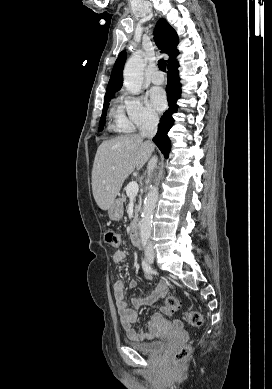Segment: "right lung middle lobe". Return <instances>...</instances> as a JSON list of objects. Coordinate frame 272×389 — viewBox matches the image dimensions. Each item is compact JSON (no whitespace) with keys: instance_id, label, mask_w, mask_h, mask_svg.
Instances as JSON below:
<instances>
[{"instance_id":"1","label":"right lung middle lobe","mask_w":272,"mask_h":389,"mask_svg":"<svg viewBox=\"0 0 272 389\" xmlns=\"http://www.w3.org/2000/svg\"><path fill=\"white\" fill-rule=\"evenodd\" d=\"M112 94L108 95V96H105L104 98V105H103V112H102V116L100 118V123H99V131H101L105 125V121H106V112H107V108L109 106V101H110V97H111Z\"/></svg>"}]
</instances>
